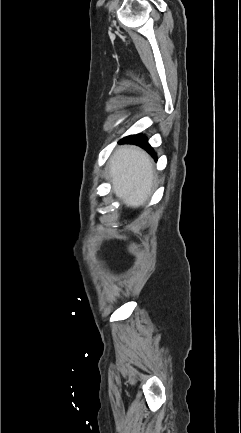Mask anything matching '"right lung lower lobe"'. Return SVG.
Segmentation results:
<instances>
[{"mask_svg": "<svg viewBox=\"0 0 241 433\" xmlns=\"http://www.w3.org/2000/svg\"><path fill=\"white\" fill-rule=\"evenodd\" d=\"M121 142L122 143L136 144V145L141 146L142 148L146 149L152 155H154L153 149L148 144L146 136H144L142 134L131 135V136L125 137L121 140Z\"/></svg>", "mask_w": 241, "mask_h": 433, "instance_id": "right-lung-lower-lobe-1", "label": "right lung lower lobe"}]
</instances>
